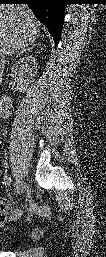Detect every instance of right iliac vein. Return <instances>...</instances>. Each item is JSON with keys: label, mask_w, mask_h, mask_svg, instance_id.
I'll list each match as a JSON object with an SVG mask.
<instances>
[{"label": "right iliac vein", "mask_w": 106, "mask_h": 257, "mask_svg": "<svg viewBox=\"0 0 106 257\" xmlns=\"http://www.w3.org/2000/svg\"><path fill=\"white\" fill-rule=\"evenodd\" d=\"M16 181L18 182V185H19V190H18V195H20L23 191H24V189H25V185H24V181H23V179L22 178H20V177H18L17 179H16Z\"/></svg>", "instance_id": "63e3f726"}]
</instances>
